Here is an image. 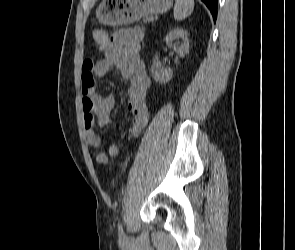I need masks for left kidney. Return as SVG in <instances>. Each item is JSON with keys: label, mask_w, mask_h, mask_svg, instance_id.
Segmentation results:
<instances>
[{"label": "left kidney", "mask_w": 295, "mask_h": 250, "mask_svg": "<svg viewBox=\"0 0 295 250\" xmlns=\"http://www.w3.org/2000/svg\"><path fill=\"white\" fill-rule=\"evenodd\" d=\"M188 35V32L181 28L173 29L169 31L165 38L166 45H173V41H178L174 44V46L179 56L184 57L189 52ZM179 40L181 42H179ZM150 71L155 81L164 84L167 83L173 76V71L165 68L161 64L158 55L155 56Z\"/></svg>", "instance_id": "1"}]
</instances>
